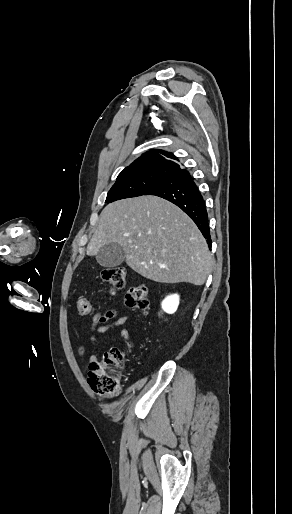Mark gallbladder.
Segmentation results:
<instances>
[{"label": "gallbladder", "mask_w": 292, "mask_h": 514, "mask_svg": "<svg viewBox=\"0 0 292 514\" xmlns=\"http://www.w3.org/2000/svg\"><path fill=\"white\" fill-rule=\"evenodd\" d=\"M125 250L123 246L117 244V242H111V244H105L102 248H99V252L96 254V260L100 266L104 268H115L120 266L124 262Z\"/></svg>", "instance_id": "obj_1"}]
</instances>
